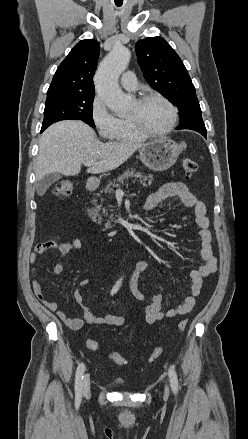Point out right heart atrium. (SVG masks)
<instances>
[{
  "label": "right heart atrium",
  "mask_w": 248,
  "mask_h": 439,
  "mask_svg": "<svg viewBox=\"0 0 248 439\" xmlns=\"http://www.w3.org/2000/svg\"><path fill=\"white\" fill-rule=\"evenodd\" d=\"M91 118L102 138L113 137L118 128L119 118L109 110L105 101L99 96H96L91 104Z\"/></svg>",
  "instance_id": "right-heart-atrium-1"
}]
</instances>
